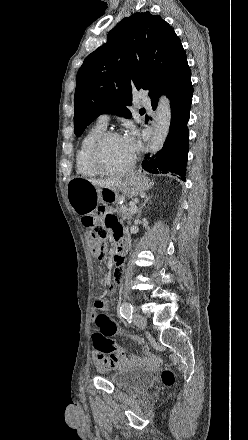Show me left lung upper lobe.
<instances>
[{"label": "left lung upper lobe", "instance_id": "1", "mask_svg": "<svg viewBox=\"0 0 248 440\" xmlns=\"http://www.w3.org/2000/svg\"><path fill=\"white\" fill-rule=\"evenodd\" d=\"M190 78L181 41L161 16L144 12L124 18L77 73L74 133L79 137L104 113L131 116L127 106L135 88L148 90L154 102Z\"/></svg>", "mask_w": 248, "mask_h": 440}]
</instances>
